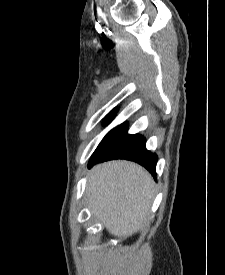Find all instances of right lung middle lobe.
Returning a JSON list of instances; mask_svg holds the SVG:
<instances>
[{
    "label": "right lung middle lobe",
    "instance_id": "dd1d6c3e",
    "mask_svg": "<svg viewBox=\"0 0 225 275\" xmlns=\"http://www.w3.org/2000/svg\"><path fill=\"white\" fill-rule=\"evenodd\" d=\"M112 117H113V116H109V119H107V120L105 121V123L110 122V121L112 120ZM110 132H111V131H110ZM110 132H109V133H110ZM109 133H108V134H109ZM108 134H107V135H108ZM107 135H106V136H107ZM106 136H105V137H106Z\"/></svg>",
    "mask_w": 225,
    "mask_h": 275
}]
</instances>
